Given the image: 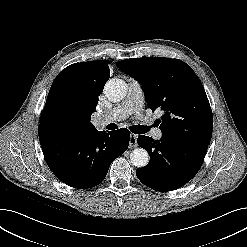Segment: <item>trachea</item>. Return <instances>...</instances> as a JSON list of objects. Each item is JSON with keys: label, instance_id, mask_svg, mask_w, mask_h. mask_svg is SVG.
Segmentation results:
<instances>
[{"label": "trachea", "instance_id": "3493384b", "mask_svg": "<svg viewBox=\"0 0 247 247\" xmlns=\"http://www.w3.org/2000/svg\"><path fill=\"white\" fill-rule=\"evenodd\" d=\"M108 130H114L117 129V125L116 124H109L106 127ZM130 130L135 133V134H144L148 131V127L142 126V125H134L130 127Z\"/></svg>", "mask_w": 247, "mask_h": 247}]
</instances>
